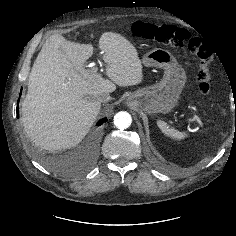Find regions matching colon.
<instances>
[{
    "label": "colon",
    "mask_w": 236,
    "mask_h": 236,
    "mask_svg": "<svg viewBox=\"0 0 236 236\" xmlns=\"http://www.w3.org/2000/svg\"><path fill=\"white\" fill-rule=\"evenodd\" d=\"M132 31L136 36L147 40L172 47H186L196 54L200 59V67L197 74L199 90L202 94L211 92L210 64L213 59V53L204 41L193 36L187 30L172 25H157L137 21L132 25Z\"/></svg>",
    "instance_id": "5ec220e1"
}]
</instances>
